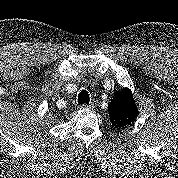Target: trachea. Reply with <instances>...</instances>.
<instances>
[{
  "label": "trachea",
  "mask_w": 178,
  "mask_h": 178,
  "mask_svg": "<svg viewBox=\"0 0 178 178\" xmlns=\"http://www.w3.org/2000/svg\"><path fill=\"white\" fill-rule=\"evenodd\" d=\"M90 101L89 93L86 90H82L78 95V104L88 105Z\"/></svg>",
  "instance_id": "trachea-1"
}]
</instances>
